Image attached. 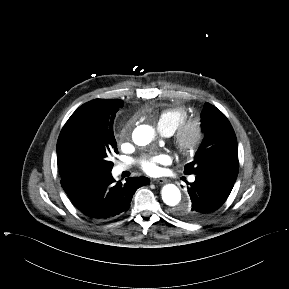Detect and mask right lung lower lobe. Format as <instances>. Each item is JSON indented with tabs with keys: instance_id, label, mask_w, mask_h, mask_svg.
Returning <instances> with one entry per match:
<instances>
[{
	"instance_id": "obj_1",
	"label": "right lung lower lobe",
	"mask_w": 289,
	"mask_h": 289,
	"mask_svg": "<svg viewBox=\"0 0 289 289\" xmlns=\"http://www.w3.org/2000/svg\"><path fill=\"white\" fill-rule=\"evenodd\" d=\"M149 183L146 177H131L122 184L110 174L85 180L69 197L85 216L106 220L128 210L136 189Z\"/></svg>"
}]
</instances>
